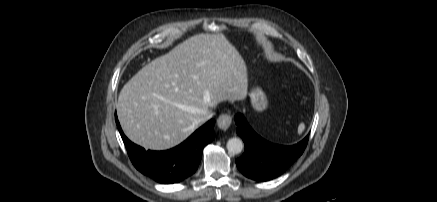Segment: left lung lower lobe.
<instances>
[{"instance_id":"0a47b994","label":"left lung lower lobe","mask_w":437,"mask_h":202,"mask_svg":"<svg viewBox=\"0 0 437 202\" xmlns=\"http://www.w3.org/2000/svg\"><path fill=\"white\" fill-rule=\"evenodd\" d=\"M237 133L244 141L245 152L236 159L239 171L256 181H268L280 176L304 152L309 135L292 146L270 143L249 126L242 114L235 116Z\"/></svg>"}]
</instances>
